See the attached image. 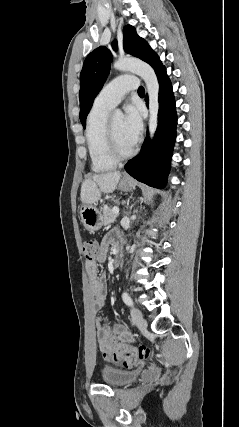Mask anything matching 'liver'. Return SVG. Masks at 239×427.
<instances>
[{
	"mask_svg": "<svg viewBox=\"0 0 239 427\" xmlns=\"http://www.w3.org/2000/svg\"><path fill=\"white\" fill-rule=\"evenodd\" d=\"M121 178L119 171H111L103 174H95L92 178L85 180L81 186V201L83 204H96L101 193H111Z\"/></svg>",
	"mask_w": 239,
	"mask_h": 427,
	"instance_id": "1",
	"label": "liver"
}]
</instances>
